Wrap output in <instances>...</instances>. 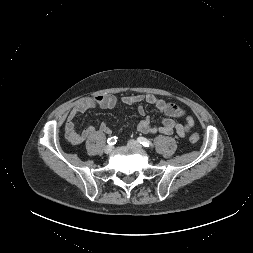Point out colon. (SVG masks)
I'll return each instance as SVG.
<instances>
[{
	"label": "colon",
	"mask_w": 253,
	"mask_h": 253,
	"mask_svg": "<svg viewBox=\"0 0 253 253\" xmlns=\"http://www.w3.org/2000/svg\"><path fill=\"white\" fill-rule=\"evenodd\" d=\"M199 139H200V136H199L197 133H192V134L189 136V140H190L192 143L198 142Z\"/></svg>",
	"instance_id": "obj_1"
}]
</instances>
